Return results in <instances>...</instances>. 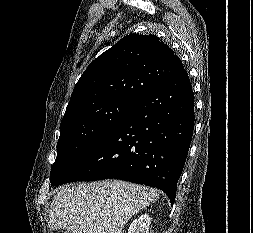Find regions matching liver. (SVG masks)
I'll use <instances>...</instances> for the list:
<instances>
[{
	"label": "liver",
	"instance_id": "1",
	"mask_svg": "<svg viewBox=\"0 0 253 233\" xmlns=\"http://www.w3.org/2000/svg\"><path fill=\"white\" fill-rule=\"evenodd\" d=\"M160 194L119 180L66 186L53 197L49 225L70 233H122L125 224Z\"/></svg>",
	"mask_w": 253,
	"mask_h": 233
}]
</instances>
